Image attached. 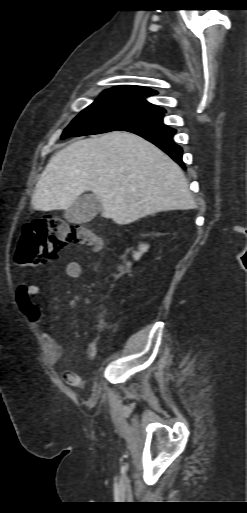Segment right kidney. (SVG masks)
Instances as JSON below:
<instances>
[{"label":"right kidney","mask_w":247,"mask_h":513,"mask_svg":"<svg viewBox=\"0 0 247 513\" xmlns=\"http://www.w3.org/2000/svg\"><path fill=\"white\" fill-rule=\"evenodd\" d=\"M148 248H149V246H148V245H146V244H141V245L139 246L138 252H134V253H133V258H134L135 260H139V259H140V257L142 256V254H143V253H145V252H147ZM130 265H131L130 263H128V264H127V266H128V267H129Z\"/></svg>","instance_id":"ca27d5eb"}]
</instances>
